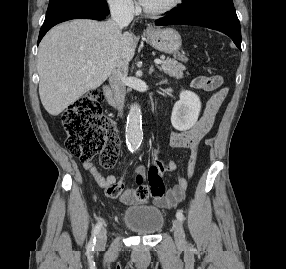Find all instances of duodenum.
I'll return each mask as SVG.
<instances>
[{
	"label": "duodenum",
	"instance_id": "410a0bca",
	"mask_svg": "<svg viewBox=\"0 0 286 269\" xmlns=\"http://www.w3.org/2000/svg\"><path fill=\"white\" fill-rule=\"evenodd\" d=\"M104 93H105V97L108 101V103L112 106V107H115V108H119L120 107V104L118 103V101L115 99L114 95H113V92H112V89L110 88L109 85H106L104 87Z\"/></svg>",
	"mask_w": 286,
	"mask_h": 269
}]
</instances>
